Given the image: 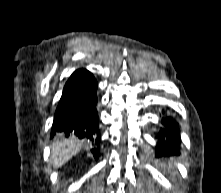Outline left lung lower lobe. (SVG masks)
Returning a JSON list of instances; mask_svg holds the SVG:
<instances>
[{
    "mask_svg": "<svg viewBox=\"0 0 221 193\" xmlns=\"http://www.w3.org/2000/svg\"><path fill=\"white\" fill-rule=\"evenodd\" d=\"M161 123L163 127L158 133L156 152L159 155L179 154L181 143L179 125L170 116L163 117ZM164 144L166 147H163Z\"/></svg>",
    "mask_w": 221,
    "mask_h": 193,
    "instance_id": "0a47b994",
    "label": "left lung lower lobe"
}]
</instances>
